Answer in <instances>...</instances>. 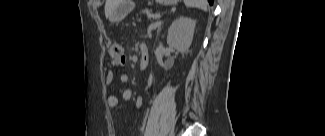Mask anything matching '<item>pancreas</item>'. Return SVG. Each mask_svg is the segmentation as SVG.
<instances>
[{
	"label": "pancreas",
	"mask_w": 325,
	"mask_h": 136,
	"mask_svg": "<svg viewBox=\"0 0 325 136\" xmlns=\"http://www.w3.org/2000/svg\"><path fill=\"white\" fill-rule=\"evenodd\" d=\"M153 15V10L150 9L149 5H143L139 12H134L133 13V18L135 24H147L151 22V19L144 17V16H152Z\"/></svg>",
	"instance_id": "1"
}]
</instances>
